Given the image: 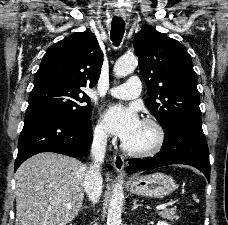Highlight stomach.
Instances as JSON below:
<instances>
[{
  "instance_id": "1",
  "label": "stomach",
  "mask_w": 228,
  "mask_h": 225,
  "mask_svg": "<svg viewBox=\"0 0 228 225\" xmlns=\"http://www.w3.org/2000/svg\"><path fill=\"white\" fill-rule=\"evenodd\" d=\"M175 189H177V185L173 177L164 175V173L134 177L130 183V193L149 197V199H163V197L171 195Z\"/></svg>"
}]
</instances>
